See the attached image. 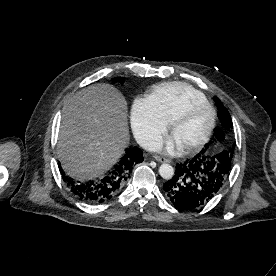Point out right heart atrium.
I'll return each instance as SVG.
<instances>
[{
    "mask_svg": "<svg viewBox=\"0 0 276 276\" xmlns=\"http://www.w3.org/2000/svg\"><path fill=\"white\" fill-rule=\"evenodd\" d=\"M132 126L137 139L148 149L160 143L168 127L146 99L135 100L132 108Z\"/></svg>",
    "mask_w": 276,
    "mask_h": 276,
    "instance_id": "obj_1",
    "label": "right heart atrium"
}]
</instances>
